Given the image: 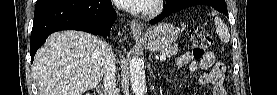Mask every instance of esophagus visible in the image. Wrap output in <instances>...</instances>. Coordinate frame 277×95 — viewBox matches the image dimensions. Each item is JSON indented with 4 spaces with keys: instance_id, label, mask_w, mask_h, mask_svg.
Instances as JSON below:
<instances>
[{
    "instance_id": "1",
    "label": "esophagus",
    "mask_w": 277,
    "mask_h": 95,
    "mask_svg": "<svg viewBox=\"0 0 277 95\" xmlns=\"http://www.w3.org/2000/svg\"><path fill=\"white\" fill-rule=\"evenodd\" d=\"M131 34L135 39H141L143 35V25L137 21H132Z\"/></svg>"
}]
</instances>
